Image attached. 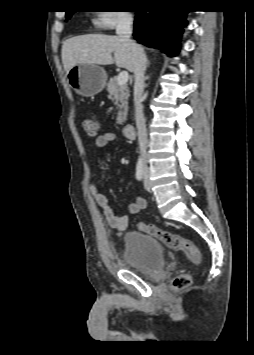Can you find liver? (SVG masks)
I'll list each match as a JSON object with an SVG mask.
<instances>
[{
  "label": "liver",
  "instance_id": "liver-1",
  "mask_svg": "<svg viewBox=\"0 0 254 355\" xmlns=\"http://www.w3.org/2000/svg\"><path fill=\"white\" fill-rule=\"evenodd\" d=\"M62 62L66 74L81 63H115L117 67L134 72V55L130 46L112 35L88 34L67 39L62 45Z\"/></svg>",
  "mask_w": 254,
  "mask_h": 355
}]
</instances>
